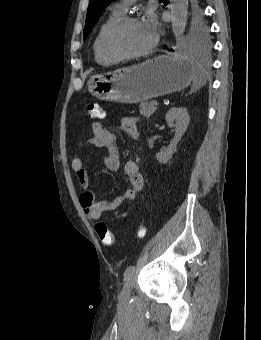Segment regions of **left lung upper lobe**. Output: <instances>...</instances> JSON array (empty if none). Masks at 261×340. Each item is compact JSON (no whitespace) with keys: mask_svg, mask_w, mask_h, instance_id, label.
I'll use <instances>...</instances> for the list:
<instances>
[{"mask_svg":"<svg viewBox=\"0 0 261 340\" xmlns=\"http://www.w3.org/2000/svg\"><path fill=\"white\" fill-rule=\"evenodd\" d=\"M114 0H90L83 39L87 37L104 9ZM186 41L189 46L199 49L209 47L208 27L203 18V12L198 0H189L187 14Z\"/></svg>","mask_w":261,"mask_h":340,"instance_id":"1","label":"left lung upper lobe"}]
</instances>
